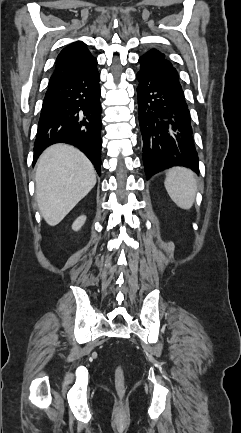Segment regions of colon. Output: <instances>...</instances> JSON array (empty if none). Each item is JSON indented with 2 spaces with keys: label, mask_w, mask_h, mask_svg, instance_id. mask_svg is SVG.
<instances>
[{
  "label": "colon",
  "mask_w": 241,
  "mask_h": 433,
  "mask_svg": "<svg viewBox=\"0 0 241 433\" xmlns=\"http://www.w3.org/2000/svg\"><path fill=\"white\" fill-rule=\"evenodd\" d=\"M116 387L119 391H122L124 388V372L121 366L116 370Z\"/></svg>",
  "instance_id": "obj_1"
}]
</instances>
